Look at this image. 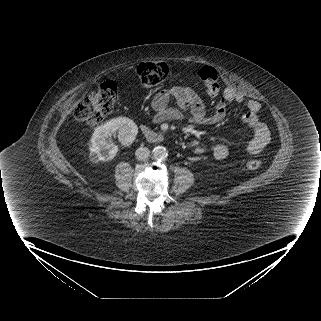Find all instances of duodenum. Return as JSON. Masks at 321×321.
Returning <instances> with one entry per match:
<instances>
[{
    "label": "duodenum",
    "mask_w": 321,
    "mask_h": 321,
    "mask_svg": "<svg viewBox=\"0 0 321 321\" xmlns=\"http://www.w3.org/2000/svg\"><path fill=\"white\" fill-rule=\"evenodd\" d=\"M141 130L146 139L150 142L158 143L164 140V136L160 132L151 129L150 127L142 125Z\"/></svg>",
    "instance_id": "obj_1"
}]
</instances>
